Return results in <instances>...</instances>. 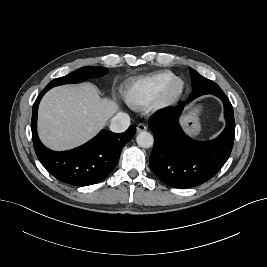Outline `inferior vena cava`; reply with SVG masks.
<instances>
[{
	"label": "inferior vena cava",
	"mask_w": 267,
	"mask_h": 267,
	"mask_svg": "<svg viewBox=\"0 0 267 267\" xmlns=\"http://www.w3.org/2000/svg\"><path fill=\"white\" fill-rule=\"evenodd\" d=\"M130 126V117L126 113H117L110 122V130L115 133H122Z\"/></svg>",
	"instance_id": "1"
}]
</instances>
